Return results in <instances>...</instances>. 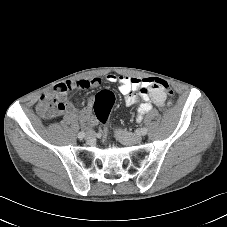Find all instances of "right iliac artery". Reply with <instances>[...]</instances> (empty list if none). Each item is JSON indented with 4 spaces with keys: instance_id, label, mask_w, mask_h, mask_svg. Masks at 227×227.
Returning a JSON list of instances; mask_svg holds the SVG:
<instances>
[{
    "instance_id": "1",
    "label": "right iliac artery",
    "mask_w": 227,
    "mask_h": 227,
    "mask_svg": "<svg viewBox=\"0 0 227 227\" xmlns=\"http://www.w3.org/2000/svg\"><path fill=\"white\" fill-rule=\"evenodd\" d=\"M84 136H85V131H81V132L78 133V138H79L80 140L83 139Z\"/></svg>"
}]
</instances>
